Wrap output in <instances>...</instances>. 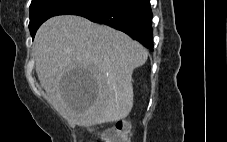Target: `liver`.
<instances>
[{"label":"liver","mask_w":227,"mask_h":142,"mask_svg":"<svg viewBox=\"0 0 227 142\" xmlns=\"http://www.w3.org/2000/svg\"><path fill=\"white\" fill-rule=\"evenodd\" d=\"M36 73L55 108L79 126L116 122L133 107L132 73L148 51L128 35L76 15L50 18L38 29L33 44ZM82 65L86 88L62 81L68 68Z\"/></svg>","instance_id":"obj_1"}]
</instances>
